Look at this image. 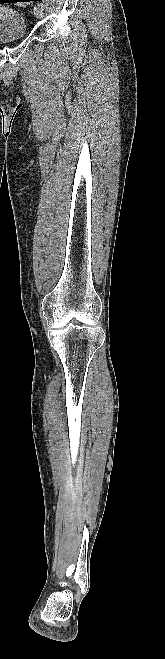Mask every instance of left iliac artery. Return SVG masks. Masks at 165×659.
Listing matches in <instances>:
<instances>
[{
    "mask_svg": "<svg viewBox=\"0 0 165 659\" xmlns=\"http://www.w3.org/2000/svg\"><path fill=\"white\" fill-rule=\"evenodd\" d=\"M38 5L42 8H44V5L42 3H38Z\"/></svg>",
    "mask_w": 165,
    "mask_h": 659,
    "instance_id": "obj_1",
    "label": "left iliac artery"
}]
</instances>
